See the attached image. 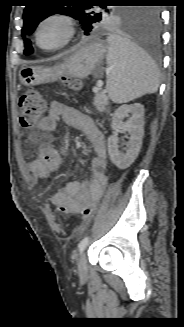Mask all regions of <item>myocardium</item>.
I'll list each match as a JSON object with an SVG mask.
<instances>
[{
    "label": "myocardium",
    "instance_id": "f54148a6",
    "mask_svg": "<svg viewBox=\"0 0 184 327\" xmlns=\"http://www.w3.org/2000/svg\"><path fill=\"white\" fill-rule=\"evenodd\" d=\"M50 21H60L61 23H63L65 26V36L59 44L52 47H45L40 43L39 34L42 26ZM76 31L77 28L75 20L70 15L56 12L46 15L37 23L34 31V38L36 45L40 49L44 51H56L68 45L74 38Z\"/></svg>",
    "mask_w": 184,
    "mask_h": 327
}]
</instances>
